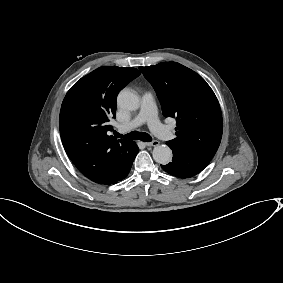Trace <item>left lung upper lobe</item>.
Here are the masks:
<instances>
[{"instance_id":"5c2ea615","label":"left lung upper lobe","mask_w":283,"mask_h":283,"mask_svg":"<svg viewBox=\"0 0 283 283\" xmlns=\"http://www.w3.org/2000/svg\"><path fill=\"white\" fill-rule=\"evenodd\" d=\"M160 100L163 115L176 118L177 137L167 144L211 160L222 137L218 100L206 81L176 62L139 67Z\"/></svg>"}]
</instances>
